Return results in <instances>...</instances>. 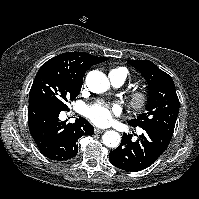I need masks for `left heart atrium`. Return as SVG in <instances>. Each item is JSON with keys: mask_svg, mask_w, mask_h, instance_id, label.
Listing matches in <instances>:
<instances>
[{"mask_svg": "<svg viewBox=\"0 0 199 199\" xmlns=\"http://www.w3.org/2000/svg\"><path fill=\"white\" fill-rule=\"evenodd\" d=\"M85 113L94 124L105 126L111 123L115 115L119 114V108L116 106L111 107L103 103H96L89 106Z\"/></svg>", "mask_w": 199, "mask_h": 199, "instance_id": "left-heart-atrium-1", "label": "left heart atrium"}]
</instances>
